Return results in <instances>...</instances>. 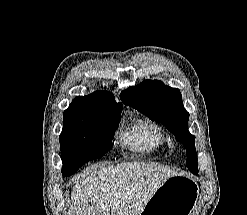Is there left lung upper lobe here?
Segmentation results:
<instances>
[{
  "mask_svg": "<svg viewBox=\"0 0 247 215\" xmlns=\"http://www.w3.org/2000/svg\"><path fill=\"white\" fill-rule=\"evenodd\" d=\"M121 100L132 108L161 122L186 149V166L198 173L195 136L188 131L189 113L184 109L179 89L165 86L161 81L145 80L120 94Z\"/></svg>",
  "mask_w": 247,
  "mask_h": 215,
  "instance_id": "5c2ea615",
  "label": "left lung upper lobe"
}]
</instances>
